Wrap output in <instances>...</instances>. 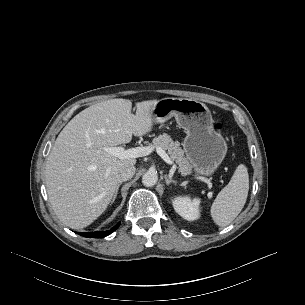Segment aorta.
I'll use <instances>...</instances> for the list:
<instances>
[{
  "mask_svg": "<svg viewBox=\"0 0 305 305\" xmlns=\"http://www.w3.org/2000/svg\"><path fill=\"white\" fill-rule=\"evenodd\" d=\"M158 181V176L155 171H147L143 176H142V183L147 186L151 187L154 186Z\"/></svg>",
  "mask_w": 305,
  "mask_h": 305,
  "instance_id": "1",
  "label": "aorta"
}]
</instances>
